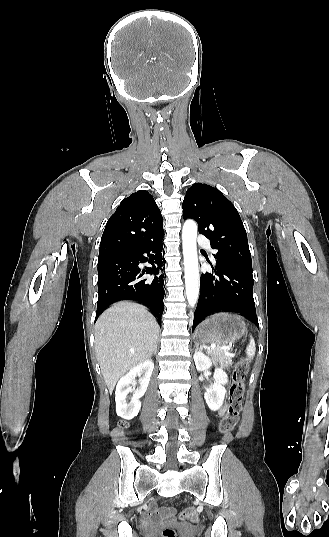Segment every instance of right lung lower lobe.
Masks as SVG:
<instances>
[{
    "label": "right lung lower lobe",
    "mask_w": 329,
    "mask_h": 537,
    "mask_svg": "<svg viewBox=\"0 0 329 537\" xmlns=\"http://www.w3.org/2000/svg\"><path fill=\"white\" fill-rule=\"evenodd\" d=\"M162 240L163 234L129 252L98 258L99 297L95 320L110 304L129 299L148 306L161 324L165 294ZM143 262H149L152 267L139 268Z\"/></svg>",
    "instance_id": "1"
}]
</instances>
